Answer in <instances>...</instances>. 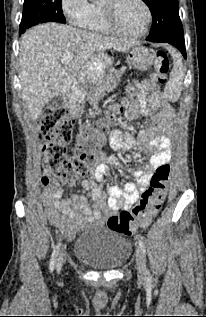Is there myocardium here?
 Wrapping results in <instances>:
<instances>
[{"label":"myocardium","mask_w":206,"mask_h":317,"mask_svg":"<svg viewBox=\"0 0 206 317\" xmlns=\"http://www.w3.org/2000/svg\"><path fill=\"white\" fill-rule=\"evenodd\" d=\"M137 1L141 4V6L145 10L146 22H145L144 28L136 34H127L123 32L116 24L115 9H116V4L120 2V0H104L103 1L102 9L104 12L105 21L109 30L112 33L127 39H138L145 36L148 33L151 26V22H152V11L145 0H137Z\"/></svg>","instance_id":"f54148a6"}]
</instances>
